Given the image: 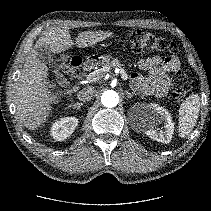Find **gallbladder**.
Returning a JSON list of instances; mask_svg holds the SVG:
<instances>
[{"mask_svg":"<svg viewBox=\"0 0 211 211\" xmlns=\"http://www.w3.org/2000/svg\"><path fill=\"white\" fill-rule=\"evenodd\" d=\"M36 51H37L38 59L42 63L48 65V64H51L53 62V52L50 50L49 47L39 46L36 49ZM54 73L58 77L59 81H64L63 75L61 74L60 69L58 67L54 68Z\"/></svg>","mask_w":211,"mask_h":211,"instance_id":"obj_1","label":"gallbladder"}]
</instances>
